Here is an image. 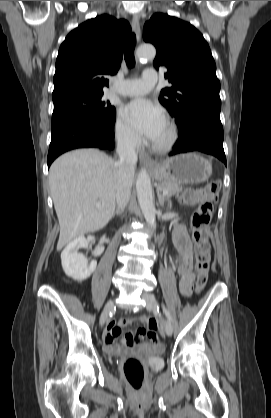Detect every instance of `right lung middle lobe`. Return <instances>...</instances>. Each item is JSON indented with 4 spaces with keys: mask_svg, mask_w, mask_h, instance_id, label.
<instances>
[{
    "mask_svg": "<svg viewBox=\"0 0 271 418\" xmlns=\"http://www.w3.org/2000/svg\"><path fill=\"white\" fill-rule=\"evenodd\" d=\"M102 96L103 92L76 94L53 101L52 128L65 122L87 118L114 121L116 110L108 101H103Z\"/></svg>",
    "mask_w": 271,
    "mask_h": 418,
    "instance_id": "1",
    "label": "right lung middle lobe"
}]
</instances>
